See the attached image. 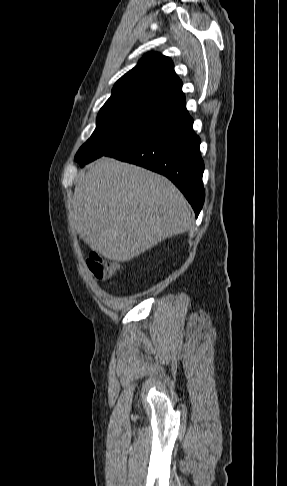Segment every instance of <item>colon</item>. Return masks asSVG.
Returning a JSON list of instances; mask_svg holds the SVG:
<instances>
[{
    "label": "colon",
    "instance_id": "1",
    "mask_svg": "<svg viewBox=\"0 0 287 486\" xmlns=\"http://www.w3.org/2000/svg\"><path fill=\"white\" fill-rule=\"evenodd\" d=\"M87 266L98 280H107L113 276L119 264L107 260L96 252H91L87 258Z\"/></svg>",
    "mask_w": 287,
    "mask_h": 486
}]
</instances>
